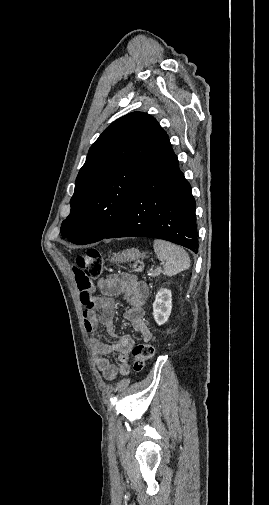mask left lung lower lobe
<instances>
[{"mask_svg":"<svg viewBox=\"0 0 269 505\" xmlns=\"http://www.w3.org/2000/svg\"><path fill=\"white\" fill-rule=\"evenodd\" d=\"M195 208L191 186L161 129L123 215L104 238H160L197 253Z\"/></svg>","mask_w":269,"mask_h":505,"instance_id":"left-lung-lower-lobe-1","label":"left lung lower lobe"}]
</instances>
